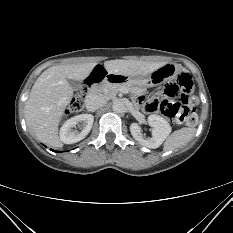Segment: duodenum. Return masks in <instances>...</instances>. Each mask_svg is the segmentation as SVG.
I'll use <instances>...</instances> for the list:
<instances>
[{
  "mask_svg": "<svg viewBox=\"0 0 233 233\" xmlns=\"http://www.w3.org/2000/svg\"><path fill=\"white\" fill-rule=\"evenodd\" d=\"M116 74L105 72V67L102 64H97L93 68L92 74L88 77L87 81L84 82V87L87 89V92H100L101 86L100 82L106 81L108 83H117L114 81V76Z\"/></svg>",
  "mask_w": 233,
  "mask_h": 233,
  "instance_id": "1",
  "label": "duodenum"
}]
</instances>
